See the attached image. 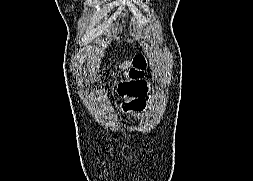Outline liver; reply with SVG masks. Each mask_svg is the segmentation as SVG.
<instances>
[{"instance_id":"liver-1","label":"liver","mask_w":253,"mask_h":181,"mask_svg":"<svg viewBox=\"0 0 253 181\" xmlns=\"http://www.w3.org/2000/svg\"><path fill=\"white\" fill-rule=\"evenodd\" d=\"M128 61H124V63L123 64H121V65H119V68H127L128 67ZM100 78H101V75H99V77H98V80H100Z\"/></svg>"}]
</instances>
